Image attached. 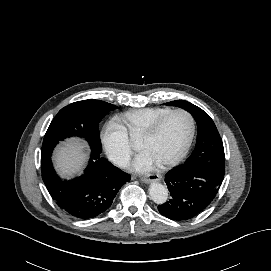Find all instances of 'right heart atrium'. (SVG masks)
<instances>
[{"instance_id": "1", "label": "right heart atrium", "mask_w": 271, "mask_h": 271, "mask_svg": "<svg viewBox=\"0 0 271 271\" xmlns=\"http://www.w3.org/2000/svg\"><path fill=\"white\" fill-rule=\"evenodd\" d=\"M102 147L111 161L126 166L133 153L128 134L116 121L107 122L101 130Z\"/></svg>"}]
</instances>
